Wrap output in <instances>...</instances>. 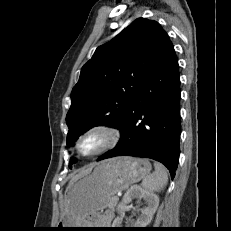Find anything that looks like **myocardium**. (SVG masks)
Here are the masks:
<instances>
[{"label": "myocardium", "instance_id": "myocardium-1", "mask_svg": "<svg viewBox=\"0 0 231 231\" xmlns=\"http://www.w3.org/2000/svg\"><path fill=\"white\" fill-rule=\"evenodd\" d=\"M95 132H102L107 136L106 144L94 153L83 154L79 148L80 141L85 136L91 133H95ZM120 139H121V132L116 127L108 123H96V124L89 126L82 133H80V135L77 137L75 141V149L78 155H80L83 158H87V159L95 158L115 148L117 144L119 143Z\"/></svg>", "mask_w": 231, "mask_h": 231}]
</instances>
